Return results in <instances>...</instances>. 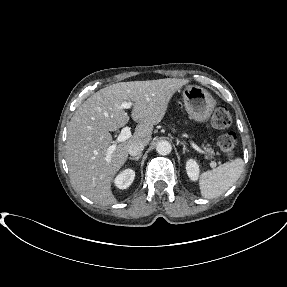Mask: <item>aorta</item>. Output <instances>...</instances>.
Returning <instances> with one entry per match:
<instances>
[{"label": "aorta", "instance_id": "1", "mask_svg": "<svg viewBox=\"0 0 287 287\" xmlns=\"http://www.w3.org/2000/svg\"><path fill=\"white\" fill-rule=\"evenodd\" d=\"M172 150L170 142L166 140H161L156 145V151L160 155H168Z\"/></svg>", "mask_w": 287, "mask_h": 287}]
</instances>
